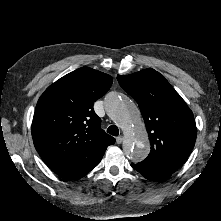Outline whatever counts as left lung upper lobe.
<instances>
[{
  "instance_id": "left-lung-upper-lobe-1",
  "label": "left lung upper lobe",
  "mask_w": 221,
  "mask_h": 221,
  "mask_svg": "<svg viewBox=\"0 0 221 221\" xmlns=\"http://www.w3.org/2000/svg\"><path fill=\"white\" fill-rule=\"evenodd\" d=\"M117 80L138 103L149 135L151 151L138 164L174 173L195 144L197 129L192 111L154 69L118 75Z\"/></svg>"
}]
</instances>
